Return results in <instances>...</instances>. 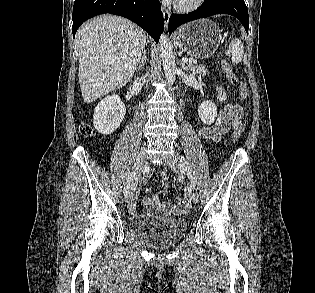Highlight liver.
Instances as JSON below:
<instances>
[{
  "instance_id": "6515ba94",
  "label": "liver",
  "mask_w": 315,
  "mask_h": 293,
  "mask_svg": "<svg viewBox=\"0 0 315 293\" xmlns=\"http://www.w3.org/2000/svg\"><path fill=\"white\" fill-rule=\"evenodd\" d=\"M79 84L85 103L126 85L142 57L146 33L131 21L103 15L76 34Z\"/></svg>"
}]
</instances>
